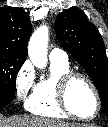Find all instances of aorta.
<instances>
[{
	"instance_id": "obj_1",
	"label": "aorta",
	"mask_w": 108,
	"mask_h": 127,
	"mask_svg": "<svg viewBox=\"0 0 108 127\" xmlns=\"http://www.w3.org/2000/svg\"><path fill=\"white\" fill-rule=\"evenodd\" d=\"M49 29L43 25L37 28L28 43V56L34 66L43 69L47 65V45Z\"/></svg>"
}]
</instances>
